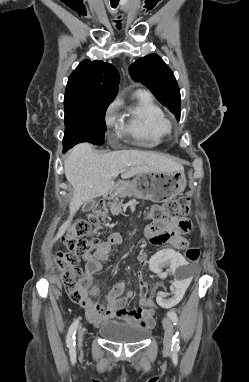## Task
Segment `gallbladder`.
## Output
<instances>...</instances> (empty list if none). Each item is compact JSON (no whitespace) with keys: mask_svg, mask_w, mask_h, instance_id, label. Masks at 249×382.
Returning <instances> with one entry per match:
<instances>
[{"mask_svg":"<svg viewBox=\"0 0 249 382\" xmlns=\"http://www.w3.org/2000/svg\"><path fill=\"white\" fill-rule=\"evenodd\" d=\"M95 205V201L94 200H89L87 202H85L83 205H82V211L83 212H88L90 211L91 209H93Z\"/></svg>","mask_w":249,"mask_h":382,"instance_id":"1","label":"gallbladder"}]
</instances>
